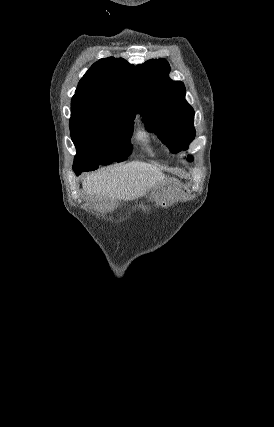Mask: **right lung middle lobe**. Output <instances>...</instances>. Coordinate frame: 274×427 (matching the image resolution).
Wrapping results in <instances>:
<instances>
[{
    "label": "right lung middle lobe",
    "mask_w": 274,
    "mask_h": 427,
    "mask_svg": "<svg viewBox=\"0 0 274 427\" xmlns=\"http://www.w3.org/2000/svg\"><path fill=\"white\" fill-rule=\"evenodd\" d=\"M135 115L119 108L71 112L70 132L77 150L73 167L95 170L125 160L132 150Z\"/></svg>",
    "instance_id": "dd1d6c3e"
}]
</instances>
